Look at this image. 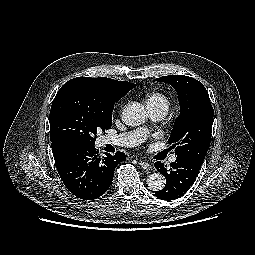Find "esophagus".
Returning <instances> with one entry per match:
<instances>
[{"label": "esophagus", "instance_id": "1", "mask_svg": "<svg viewBox=\"0 0 255 255\" xmlns=\"http://www.w3.org/2000/svg\"><path fill=\"white\" fill-rule=\"evenodd\" d=\"M139 164L145 170H149V171L153 170V167L148 162L141 161Z\"/></svg>", "mask_w": 255, "mask_h": 255}]
</instances>
